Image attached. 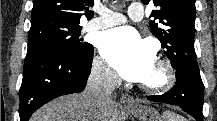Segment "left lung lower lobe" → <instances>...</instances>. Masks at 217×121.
Instances as JSON below:
<instances>
[{
	"label": "left lung lower lobe",
	"instance_id": "obj_1",
	"mask_svg": "<svg viewBox=\"0 0 217 121\" xmlns=\"http://www.w3.org/2000/svg\"><path fill=\"white\" fill-rule=\"evenodd\" d=\"M176 79V85L169 92L147 96V99L178 106L196 121H203L204 85L199 70L180 67L176 71Z\"/></svg>",
	"mask_w": 217,
	"mask_h": 121
}]
</instances>
